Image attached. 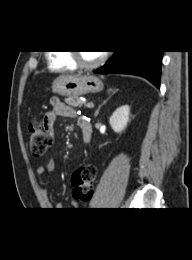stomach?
Segmentation results:
<instances>
[{
    "label": "stomach",
    "mask_w": 192,
    "mask_h": 260,
    "mask_svg": "<svg viewBox=\"0 0 192 260\" xmlns=\"http://www.w3.org/2000/svg\"><path fill=\"white\" fill-rule=\"evenodd\" d=\"M103 89L101 79L94 75H62L52 83V91L58 95L78 98L89 93H98Z\"/></svg>",
    "instance_id": "obj_1"
}]
</instances>
